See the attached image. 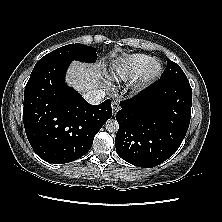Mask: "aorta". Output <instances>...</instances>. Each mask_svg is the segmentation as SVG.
Listing matches in <instances>:
<instances>
[{
    "label": "aorta",
    "mask_w": 222,
    "mask_h": 222,
    "mask_svg": "<svg viewBox=\"0 0 222 222\" xmlns=\"http://www.w3.org/2000/svg\"><path fill=\"white\" fill-rule=\"evenodd\" d=\"M105 128L108 132L114 133L119 129V124L115 119H109L105 123Z\"/></svg>",
    "instance_id": "1"
}]
</instances>
